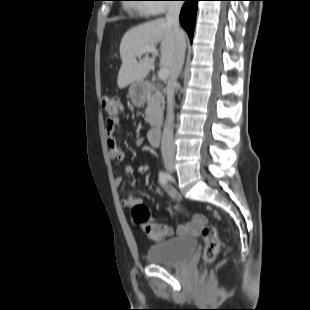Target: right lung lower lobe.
<instances>
[{
	"label": "right lung lower lobe",
	"instance_id": "98d812e1",
	"mask_svg": "<svg viewBox=\"0 0 310 310\" xmlns=\"http://www.w3.org/2000/svg\"><path fill=\"white\" fill-rule=\"evenodd\" d=\"M184 1L186 2L180 12V24L186 30L189 35L190 41L192 42L197 12V3L199 0Z\"/></svg>",
	"mask_w": 310,
	"mask_h": 310
}]
</instances>
